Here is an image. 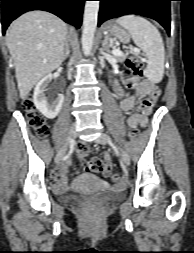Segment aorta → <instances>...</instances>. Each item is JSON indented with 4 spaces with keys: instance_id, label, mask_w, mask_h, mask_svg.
I'll use <instances>...</instances> for the list:
<instances>
[{
    "instance_id": "1",
    "label": "aorta",
    "mask_w": 194,
    "mask_h": 253,
    "mask_svg": "<svg viewBox=\"0 0 194 253\" xmlns=\"http://www.w3.org/2000/svg\"><path fill=\"white\" fill-rule=\"evenodd\" d=\"M99 1H86L84 10L83 32H82V50L85 56L90 55L94 34L97 27Z\"/></svg>"
}]
</instances>
